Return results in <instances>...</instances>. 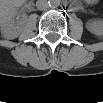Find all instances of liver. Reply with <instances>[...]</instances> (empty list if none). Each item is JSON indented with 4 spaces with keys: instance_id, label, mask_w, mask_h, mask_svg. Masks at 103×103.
Here are the masks:
<instances>
[{
    "instance_id": "6515ba94",
    "label": "liver",
    "mask_w": 103,
    "mask_h": 103,
    "mask_svg": "<svg viewBox=\"0 0 103 103\" xmlns=\"http://www.w3.org/2000/svg\"><path fill=\"white\" fill-rule=\"evenodd\" d=\"M20 5V2L18 1H12V3L10 4L11 7H17Z\"/></svg>"
}]
</instances>
